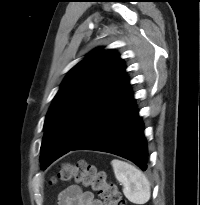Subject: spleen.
Here are the masks:
<instances>
[{
    "instance_id": "3e777b00",
    "label": "spleen",
    "mask_w": 200,
    "mask_h": 205,
    "mask_svg": "<svg viewBox=\"0 0 200 205\" xmlns=\"http://www.w3.org/2000/svg\"><path fill=\"white\" fill-rule=\"evenodd\" d=\"M116 179L123 185L125 197L134 204H145L150 199V183L135 166L114 159L111 161Z\"/></svg>"
}]
</instances>
